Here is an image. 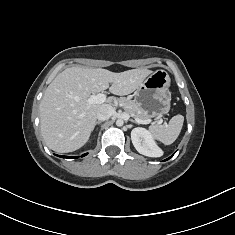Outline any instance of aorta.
<instances>
[{
  "instance_id": "762f6f07",
  "label": "aorta",
  "mask_w": 235,
  "mask_h": 235,
  "mask_svg": "<svg viewBox=\"0 0 235 235\" xmlns=\"http://www.w3.org/2000/svg\"><path fill=\"white\" fill-rule=\"evenodd\" d=\"M123 124H124L123 119H117V120H116V125H117L118 127L123 126Z\"/></svg>"
}]
</instances>
